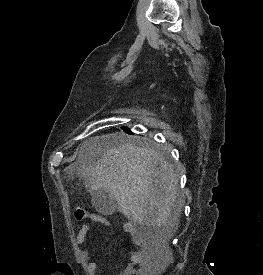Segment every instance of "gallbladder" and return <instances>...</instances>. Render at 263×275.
<instances>
[{
    "label": "gallbladder",
    "mask_w": 263,
    "mask_h": 275,
    "mask_svg": "<svg viewBox=\"0 0 263 275\" xmlns=\"http://www.w3.org/2000/svg\"><path fill=\"white\" fill-rule=\"evenodd\" d=\"M92 204L103 215H112L119 210L116 199L105 189L92 192Z\"/></svg>",
    "instance_id": "bac80fb5"
}]
</instances>
